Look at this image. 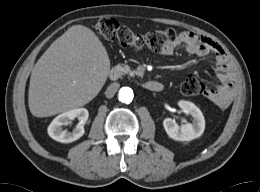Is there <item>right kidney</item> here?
<instances>
[{"mask_svg": "<svg viewBox=\"0 0 260 192\" xmlns=\"http://www.w3.org/2000/svg\"><path fill=\"white\" fill-rule=\"evenodd\" d=\"M89 113L85 108H76L59 114L53 119V121L48 126L49 136L61 143H70L78 140L83 136L84 124L88 119ZM78 119L79 124L73 129L72 132L63 130V125H68L70 120Z\"/></svg>", "mask_w": 260, "mask_h": 192, "instance_id": "1", "label": "right kidney"}]
</instances>
